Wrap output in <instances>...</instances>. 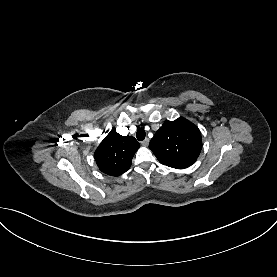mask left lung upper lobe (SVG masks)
<instances>
[{"label":"left lung upper lobe","instance_id":"left-lung-upper-lobe-1","mask_svg":"<svg viewBox=\"0 0 277 277\" xmlns=\"http://www.w3.org/2000/svg\"><path fill=\"white\" fill-rule=\"evenodd\" d=\"M149 148L160 163L184 169L200 154L201 133L197 126L182 117L166 121L151 139Z\"/></svg>","mask_w":277,"mask_h":277}]
</instances>
